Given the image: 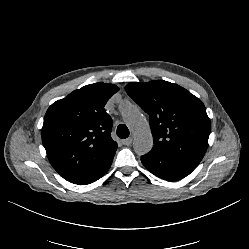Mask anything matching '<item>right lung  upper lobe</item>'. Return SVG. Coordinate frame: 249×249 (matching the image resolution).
<instances>
[{
    "mask_svg": "<svg viewBox=\"0 0 249 249\" xmlns=\"http://www.w3.org/2000/svg\"><path fill=\"white\" fill-rule=\"evenodd\" d=\"M118 90L113 84H90L47 110L42 143L53 168L69 182L90 175L115 154L112 119L104 106Z\"/></svg>",
    "mask_w": 249,
    "mask_h": 249,
    "instance_id": "right-lung-upper-lobe-1",
    "label": "right lung upper lobe"
}]
</instances>
